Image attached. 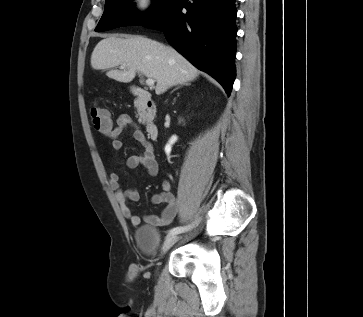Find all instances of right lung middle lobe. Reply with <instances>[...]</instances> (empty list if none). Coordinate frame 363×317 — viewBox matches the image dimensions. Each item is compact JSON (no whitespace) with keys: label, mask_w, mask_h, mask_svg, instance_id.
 I'll return each instance as SVG.
<instances>
[{"label":"right lung middle lobe","mask_w":363,"mask_h":317,"mask_svg":"<svg viewBox=\"0 0 363 317\" xmlns=\"http://www.w3.org/2000/svg\"><path fill=\"white\" fill-rule=\"evenodd\" d=\"M130 0H106L104 13L95 31H107L122 26H144L161 17L175 0H153L152 8L145 14L137 13Z\"/></svg>","instance_id":"1"}]
</instances>
